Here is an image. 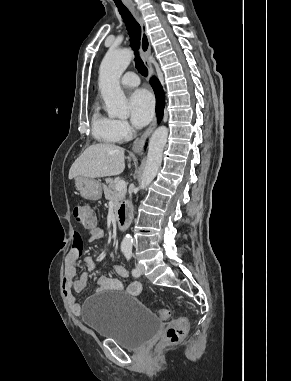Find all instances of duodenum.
I'll list each match as a JSON object with an SVG mask.
<instances>
[{"label": "duodenum", "instance_id": "duodenum-1", "mask_svg": "<svg viewBox=\"0 0 291 381\" xmlns=\"http://www.w3.org/2000/svg\"><path fill=\"white\" fill-rule=\"evenodd\" d=\"M128 204L123 203L116 212V223L120 230H125L128 226Z\"/></svg>", "mask_w": 291, "mask_h": 381}]
</instances>
